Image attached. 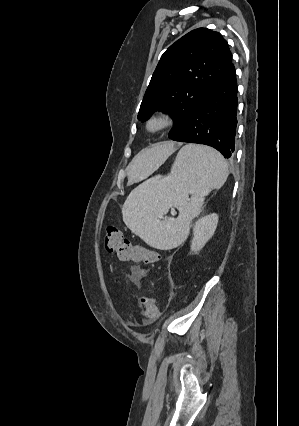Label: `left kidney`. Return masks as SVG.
<instances>
[{
    "label": "left kidney",
    "mask_w": 299,
    "mask_h": 426,
    "mask_svg": "<svg viewBox=\"0 0 299 426\" xmlns=\"http://www.w3.org/2000/svg\"><path fill=\"white\" fill-rule=\"evenodd\" d=\"M218 224V215L213 213L198 219L193 227L191 250L200 251L213 236Z\"/></svg>",
    "instance_id": "left-kidney-1"
}]
</instances>
